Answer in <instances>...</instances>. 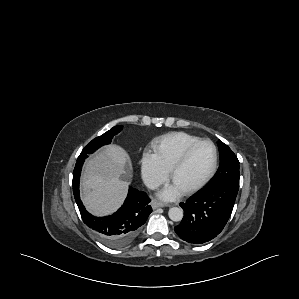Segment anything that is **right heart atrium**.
Instances as JSON below:
<instances>
[{
    "mask_svg": "<svg viewBox=\"0 0 299 299\" xmlns=\"http://www.w3.org/2000/svg\"><path fill=\"white\" fill-rule=\"evenodd\" d=\"M141 175L144 183L150 188H156L168 178V171L159 163L151 152H145L141 159Z\"/></svg>",
    "mask_w": 299,
    "mask_h": 299,
    "instance_id": "obj_1",
    "label": "right heart atrium"
}]
</instances>
